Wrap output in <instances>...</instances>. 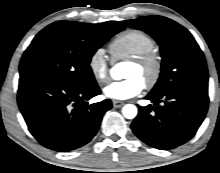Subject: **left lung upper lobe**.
<instances>
[{"instance_id":"obj_1","label":"left lung upper lobe","mask_w":220,"mask_h":173,"mask_svg":"<svg viewBox=\"0 0 220 173\" xmlns=\"http://www.w3.org/2000/svg\"><path fill=\"white\" fill-rule=\"evenodd\" d=\"M123 23L150 34L160 46L161 73L150 93L164 94L182 87L208 88L205 58L187 29L162 16L140 17Z\"/></svg>"}]
</instances>
